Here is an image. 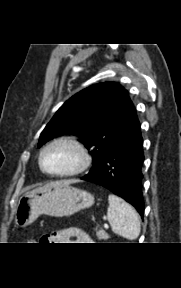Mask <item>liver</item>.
<instances>
[{
  "label": "liver",
  "mask_w": 181,
  "mask_h": 288,
  "mask_svg": "<svg viewBox=\"0 0 181 288\" xmlns=\"http://www.w3.org/2000/svg\"><path fill=\"white\" fill-rule=\"evenodd\" d=\"M66 182H68V183H73V182H75V181H66ZM37 189H40V188H37ZM37 189H35V190H37Z\"/></svg>",
  "instance_id": "6515ba94"
}]
</instances>
